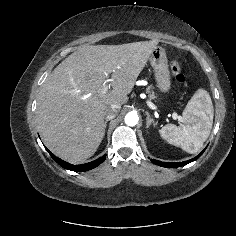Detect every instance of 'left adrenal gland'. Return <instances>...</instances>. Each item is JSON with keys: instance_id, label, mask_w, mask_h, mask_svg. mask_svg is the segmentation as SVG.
Returning <instances> with one entry per match:
<instances>
[{"instance_id": "obj_1", "label": "left adrenal gland", "mask_w": 236, "mask_h": 236, "mask_svg": "<svg viewBox=\"0 0 236 236\" xmlns=\"http://www.w3.org/2000/svg\"><path fill=\"white\" fill-rule=\"evenodd\" d=\"M146 128H149L151 125H153L154 127L156 126V123L154 122V120L150 117V113L146 112Z\"/></svg>"}]
</instances>
